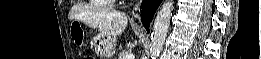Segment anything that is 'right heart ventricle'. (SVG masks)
<instances>
[{"label":"right heart ventricle","instance_id":"obj_1","mask_svg":"<svg viewBox=\"0 0 261 59\" xmlns=\"http://www.w3.org/2000/svg\"><path fill=\"white\" fill-rule=\"evenodd\" d=\"M98 2L101 4V5H111L114 1L113 0H98Z\"/></svg>","mask_w":261,"mask_h":59}]
</instances>
